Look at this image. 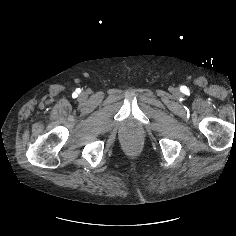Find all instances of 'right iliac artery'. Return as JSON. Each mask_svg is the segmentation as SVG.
<instances>
[{
  "instance_id": "right-iliac-artery-1",
  "label": "right iliac artery",
  "mask_w": 236,
  "mask_h": 236,
  "mask_svg": "<svg viewBox=\"0 0 236 236\" xmlns=\"http://www.w3.org/2000/svg\"><path fill=\"white\" fill-rule=\"evenodd\" d=\"M79 92H80V89H77L75 95H77V93H79Z\"/></svg>"
}]
</instances>
